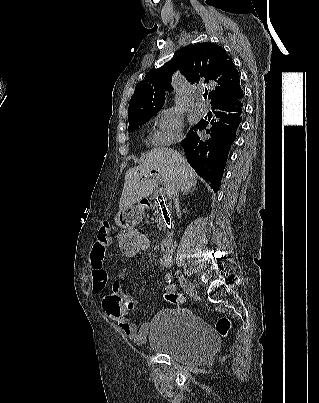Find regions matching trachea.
I'll return each mask as SVG.
<instances>
[{
  "instance_id": "trachea-1",
  "label": "trachea",
  "mask_w": 319,
  "mask_h": 403,
  "mask_svg": "<svg viewBox=\"0 0 319 403\" xmlns=\"http://www.w3.org/2000/svg\"><path fill=\"white\" fill-rule=\"evenodd\" d=\"M203 97H204V99H206V98H207V93H205V94L203 95Z\"/></svg>"
}]
</instances>
